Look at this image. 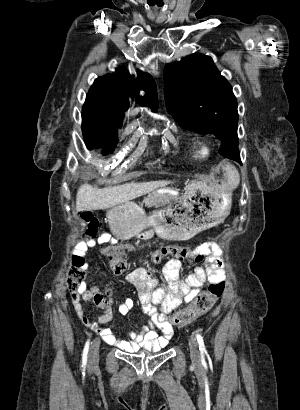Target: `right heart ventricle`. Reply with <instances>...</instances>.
Wrapping results in <instances>:
<instances>
[{
	"mask_svg": "<svg viewBox=\"0 0 300 410\" xmlns=\"http://www.w3.org/2000/svg\"><path fill=\"white\" fill-rule=\"evenodd\" d=\"M192 141L194 152L197 157H205L209 154V147L202 139L194 138Z\"/></svg>",
	"mask_w": 300,
	"mask_h": 410,
	"instance_id": "obj_1",
	"label": "right heart ventricle"
}]
</instances>
